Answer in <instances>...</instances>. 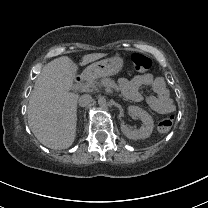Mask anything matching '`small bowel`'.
<instances>
[{"label": "small bowel", "mask_w": 208, "mask_h": 208, "mask_svg": "<svg viewBox=\"0 0 208 208\" xmlns=\"http://www.w3.org/2000/svg\"><path fill=\"white\" fill-rule=\"evenodd\" d=\"M119 87L122 94L135 103L143 100L139 89L141 87H150L155 95L146 98L149 108L158 114H170L174 111L173 102L162 77H154L150 73H143L134 76L132 79L120 78Z\"/></svg>", "instance_id": "small-bowel-1"}]
</instances>
